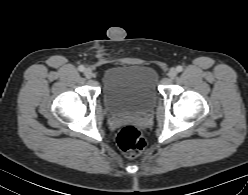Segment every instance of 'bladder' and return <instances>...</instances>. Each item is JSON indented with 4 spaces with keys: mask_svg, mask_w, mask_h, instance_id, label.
I'll use <instances>...</instances> for the list:
<instances>
[{
    "mask_svg": "<svg viewBox=\"0 0 248 195\" xmlns=\"http://www.w3.org/2000/svg\"><path fill=\"white\" fill-rule=\"evenodd\" d=\"M158 74L150 66L124 64L110 67L102 76V98L115 116L141 115L157 99Z\"/></svg>",
    "mask_w": 248,
    "mask_h": 195,
    "instance_id": "obj_1",
    "label": "bladder"
}]
</instances>
